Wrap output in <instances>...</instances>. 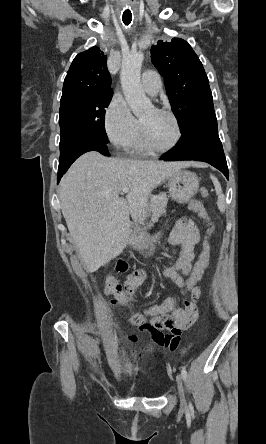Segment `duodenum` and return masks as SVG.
Segmentation results:
<instances>
[{
	"mask_svg": "<svg viewBox=\"0 0 266 444\" xmlns=\"http://www.w3.org/2000/svg\"><path fill=\"white\" fill-rule=\"evenodd\" d=\"M133 238H134V239H136V238H137V236H136V233H135V232L133 233ZM120 263H121V261H120Z\"/></svg>",
	"mask_w": 266,
	"mask_h": 444,
	"instance_id": "duodenum-1",
	"label": "duodenum"
}]
</instances>
